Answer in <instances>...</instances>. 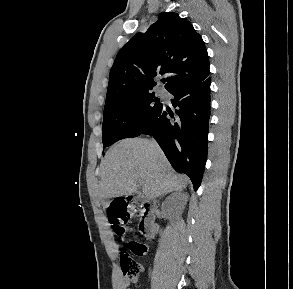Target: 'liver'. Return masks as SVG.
Segmentation results:
<instances>
[{
	"instance_id": "6515ba94",
	"label": "liver",
	"mask_w": 293,
	"mask_h": 289,
	"mask_svg": "<svg viewBox=\"0 0 293 289\" xmlns=\"http://www.w3.org/2000/svg\"><path fill=\"white\" fill-rule=\"evenodd\" d=\"M188 178L174 172L153 140L128 138L105 155L101 169V198H117L136 192L139 185L147 199L182 190Z\"/></svg>"
}]
</instances>
